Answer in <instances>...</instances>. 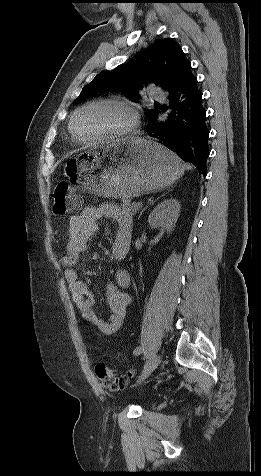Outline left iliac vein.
Returning a JSON list of instances; mask_svg holds the SVG:
<instances>
[{"instance_id": "1", "label": "left iliac vein", "mask_w": 261, "mask_h": 476, "mask_svg": "<svg viewBox=\"0 0 261 476\" xmlns=\"http://www.w3.org/2000/svg\"><path fill=\"white\" fill-rule=\"evenodd\" d=\"M161 362V357L159 355L152 356L144 365V368L139 376L137 382H143L149 375L158 367Z\"/></svg>"}]
</instances>
